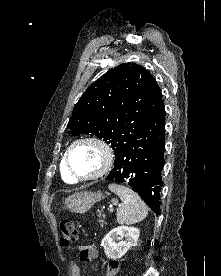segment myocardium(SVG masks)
I'll list each match as a JSON object with an SVG mask.
<instances>
[{
    "mask_svg": "<svg viewBox=\"0 0 221 276\" xmlns=\"http://www.w3.org/2000/svg\"><path fill=\"white\" fill-rule=\"evenodd\" d=\"M80 144H92L96 146L102 153V156H103L102 165L97 172L91 175L79 176L75 174L71 168L70 153L74 147ZM113 161H114V154L110 145L103 139L99 137H94V136H87V137H81L79 139H76L68 146L64 155V164H65L66 171L69 174V176L72 177L75 181H91V180H96L98 178L103 177L111 169L113 165Z\"/></svg>",
    "mask_w": 221,
    "mask_h": 276,
    "instance_id": "myocardium-1",
    "label": "myocardium"
}]
</instances>
